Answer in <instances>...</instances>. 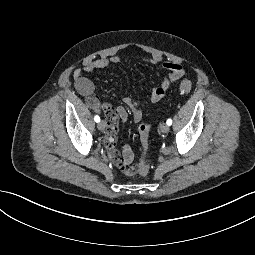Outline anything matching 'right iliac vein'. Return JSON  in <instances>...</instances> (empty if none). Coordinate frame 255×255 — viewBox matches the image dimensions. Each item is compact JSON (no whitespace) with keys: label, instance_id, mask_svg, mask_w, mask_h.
Wrapping results in <instances>:
<instances>
[{"label":"right iliac vein","instance_id":"63e3f726","mask_svg":"<svg viewBox=\"0 0 255 255\" xmlns=\"http://www.w3.org/2000/svg\"><path fill=\"white\" fill-rule=\"evenodd\" d=\"M98 129L101 130V131H104L105 128H106V122L101 120L98 125H97Z\"/></svg>","mask_w":255,"mask_h":255}]
</instances>
